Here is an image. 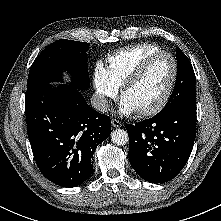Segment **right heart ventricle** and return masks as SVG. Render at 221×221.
<instances>
[{
	"label": "right heart ventricle",
	"instance_id": "e07e8e85",
	"mask_svg": "<svg viewBox=\"0 0 221 221\" xmlns=\"http://www.w3.org/2000/svg\"><path fill=\"white\" fill-rule=\"evenodd\" d=\"M158 51H161L160 47L152 43H140L122 48L106 56V69L119 87L136 65L149 54Z\"/></svg>",
	"mask_w": 221,
	"mask_h": 221
}]
</instances>
